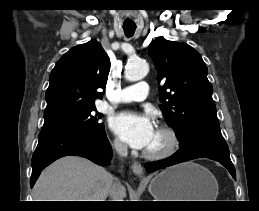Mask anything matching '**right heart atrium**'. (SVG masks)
Returning a JSON list of instances; mask_svg holds the SVG:
<instances>
[{"mask_svg": "<svg viewBox=\"0 0 259 211\" xmlns=\"http://www.w3.org/2000/svg\"><path fill=\"white\" fill-rule=\"evenodd\" d=\"M112 146L118 154H123L126 151L125 145L119 138H115L113 140Z\"/></svg>", "mask_w": 259, "mask_h": 211, "instance_id": "obj_1", "label": "right heart atrium"}]
</instances>
